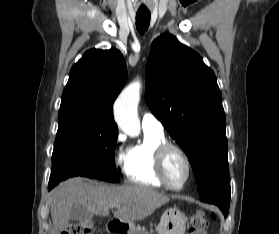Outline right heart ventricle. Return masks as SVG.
I'll use <instances>...</instances> for the list:
<instances>
[{
	"label": "right heart ventricle",
	"instance_id": "e07e8e85",
	"mask_svg": "<svg viewBox=\"0 0 279 234\" xmlns=\"http://www.w3.org/2000/svg\"><path fill=\"white\" fill-rule=\"evenodd\" d=\"M165 142L164 134L144 131L142 142L130 146L121 157L122 170L128 181L147 187H162L155 169L157 147Z\"/></svg>",
	"mask_w": 279,
	"mask_h": 234
}]
</instances>
